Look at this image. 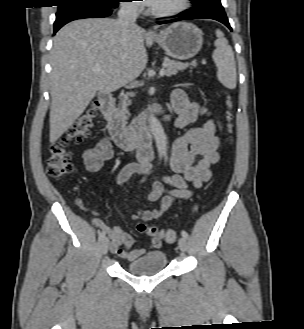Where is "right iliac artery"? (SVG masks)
Returning a JSON list of instances; mask_svg holds the SVG:
<instances>
[{
    "instance_id": "right-iliac-artery-1",
    "label": "right iliac artery",
    "mask_w": 304,
    "mask_h": 329,
    "mask_svg": "<svg viewBox=\"0 0 304 329\" xmlns=\"http://www.w3.org/2000/svg\"><path fill=\"white\" fill-rule=\"evenodd\" d=\"M145 180V178L142 180V182ZM105 239V232H101L100 234H99V240L100 241H103Z\"/></svg>"
}]
</instances>
